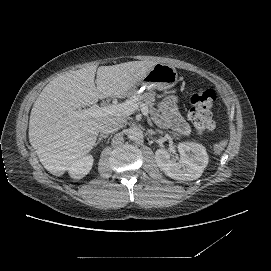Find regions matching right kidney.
<instances>
[{
    "label": "right kidney",
    "mask_w": 271,
    "mask_h": 271,
    "mask_svg": "<svg viewBox=\"0 0 271 271\" xmlns=\"http://www.w3.org/2000/svg\"><path fill=\"white\" fill-rule=\"evenodd\" d=\"M93 161V156L87 155L75 160L71 166L66 167V170L69 172L71 178L82 179L90 172Z\"/></svg>",
    "instance_id": "ca27d5eb"
}]
</instances>
